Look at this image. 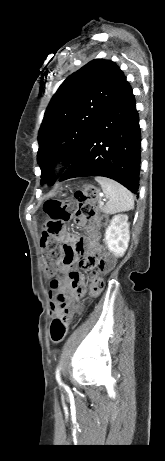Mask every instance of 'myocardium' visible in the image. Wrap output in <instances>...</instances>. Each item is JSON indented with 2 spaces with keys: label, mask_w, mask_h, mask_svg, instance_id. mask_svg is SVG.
Wrapping results in <instances>:
<instances>
[{
  "label": "myocardium",
  "mask_w": 165,
  "mask_h": 461,
  "mask_svg": "<svg viewBox=\"0 0 165 461\" xmlns=\"http://www.w3.org/2000/svg\"><path fill=\"white\" fill-rule=\"evenodd\" d=\"M60 166H61V164H60V163H59V164H57V165L55 166V169H59V168H60Z\"/></svg>",
  "instance_id": "myocardium-1"
}]
</instances>
